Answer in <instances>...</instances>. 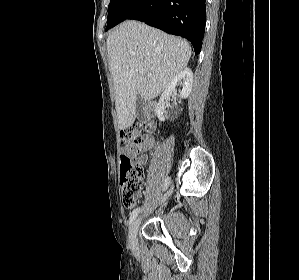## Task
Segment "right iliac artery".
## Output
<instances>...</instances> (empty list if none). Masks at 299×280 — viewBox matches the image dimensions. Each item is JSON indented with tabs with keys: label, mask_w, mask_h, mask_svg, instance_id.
<instances>
[{
	"label": "right iliac artery",
	"mask_w": 299,
	"mask_h": 280,
	"mask_svg": "<svg viewBox=\"0 0 299 280\" xmlns=\"http://www.w3.org/2000/svg\"><path fill=\"white\" fill-rule=\"evenodd\" d=\"M170 184V177H168L166 180H165V183H164V188L163 190L167 189V187L169 186ZM140 211V208H136L132 211L131 215H130V219H129V224H131L135 218L137 217L138 213Z\"/></svg>",
	"instance_id": "82829eb1"
}]
</instances>
